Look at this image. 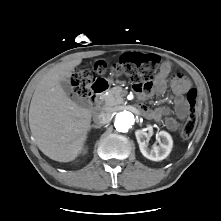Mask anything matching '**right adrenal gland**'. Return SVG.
Listing matches in <instances>:
<instances>
[{"mask_svg":"<svg viewBox=\"0 0 221 221\" xmlns=\"http://www.w3.org/2000/svg\"><path fill=\"white\" fill-rule=\"evenodd\" d=\"M92 128H94V129H98V128H100V127L97 126V125H94V124H93V125L90 126V130H91Z\"/></svg>","mask_w":221,"mask_h":221,"instance_id":"1","label":"right adrenal gland"}]
</instances>
